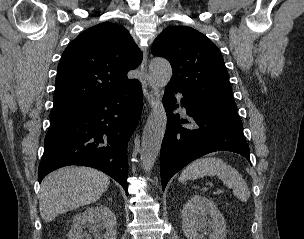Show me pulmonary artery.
Here are the masks:
<instances>
[{
  "label": "pulmonary artery",
  "mask_w": 304,
  "mask_h": 239,
  "mask_svg": "<svg viewBox=\"0 0 304 239\" xmlns=\"http://www.w3.org/2000/svg\"><path fill=\"white\" fill-rule=\"evenodd\" d=\"M177 98H178V100L181 102L182 101V95L181 94H177ZM181 105H182V110L184 111V112H186V109H185V107L183 106V104L181 103Z\"/></svg>",
  "instance_id": "obj_1"
}]
</instances>
